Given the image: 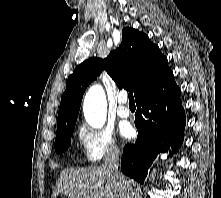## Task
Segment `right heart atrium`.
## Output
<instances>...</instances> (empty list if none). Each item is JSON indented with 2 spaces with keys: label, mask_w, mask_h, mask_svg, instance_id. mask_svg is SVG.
I'll return each instance as SVG.
<instances>
[{
  "label": "right heart atrium",
  "mask_w": 221,
  "mask_h": 198,
  "mask_svg": "<svg viewBox=\"0 0 221 198\" xmlns=\"http://www.w3.org/2000/svg\"><path fill=\"white\" fill-rule=\"evenodd\" d=\"M78 139L88 162L96 163L105 158H115L120 154V146L108 129L83 125L79 128Z\"/></svg>",
  "instance_id": "d8ad5b80"
}]
</instances>
